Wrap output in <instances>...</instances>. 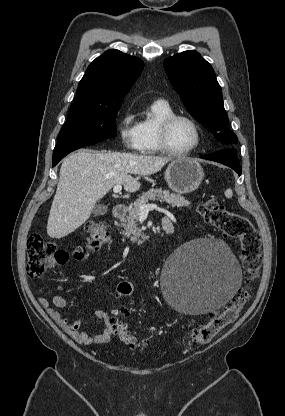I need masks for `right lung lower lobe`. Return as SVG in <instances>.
<instances>
[{
    "instance_id": "1",
    "label": "right lung lower lobe",
    "mask_w": 285,
    "mask_h": 416,
    "mask_svg": "<svg viewBox=\"0 0 285 416\" xmlns=\"http://www.w3.org/2000/svg\"><path fill=\"white\" fill-rule=\"evenodd\" d=\"M102 140H82V141H68V142H61L57 143L53 153V162L52 166H56V164L67 154L70 152L82 148L87 145H91Z\"/></svg>"
}]
</instances>
